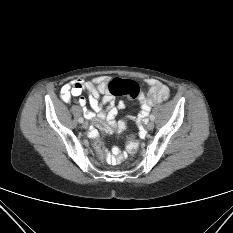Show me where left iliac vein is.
Segmentation results:
<instances>
[{
    "mask_svg": "<svg viewBox=\"0 0 233 233\" xmlns=\"http://www.w3.org/2000/svg\"><path fill=\"white\" fill-rule=\"evenodd\" d=\"M154 128V123L152 121L148 122L146 124V129L147 130H152Z\"/></svg>",
    "mask_w": 233,
    "mask_h": 233,
    "instance_id": "1",
    "label": "left iliac vein"
}]
</instances>
